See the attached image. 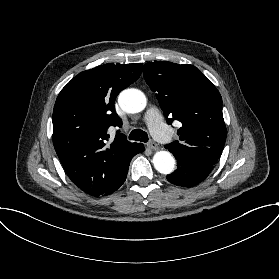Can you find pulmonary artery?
I'll return each mask as SVG.
<instances>
[{
  "instance_id": "obj_1",
  "label": "pulmonary artery",
  "mask_w": 279,
  "mask_h": 279,
  "mask_svg": "<svg viewBox=\"0 0 279 279\" xmlns=\"http://www.w3.org/2000/svg\"><path fill=\"white\" fill-rule=\"evenodd\" d=\"M166 114L162 110L151 108L145 118L146 123L153 130V137L161 145L171 141V130L165 125Z\"/></svg>"
}]
</instances>
